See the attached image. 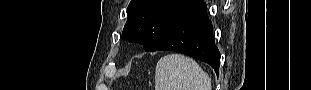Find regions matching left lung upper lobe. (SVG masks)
Wrapping results in <instances>:
<instances>
[{"mask_svg":"<svg viewBox=\"0 0 311 90\" xmlns=\"http://www.w3.org/2000/svg\"><path fill=\"white\" fill-rule=\"evenodd\" d=\"M202 0H132L127 8L128 19L122 39L151 49L185 14L198 7Z\"/></svg>","mask_w":311,"mask_h":90,"instance_id":"obj_1","label":"left lung upper lobe"}]
</instances>
